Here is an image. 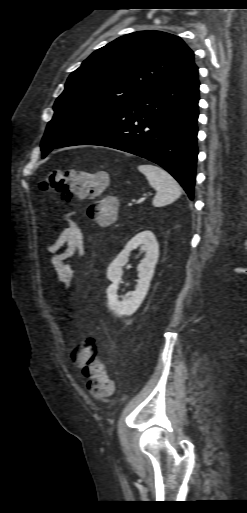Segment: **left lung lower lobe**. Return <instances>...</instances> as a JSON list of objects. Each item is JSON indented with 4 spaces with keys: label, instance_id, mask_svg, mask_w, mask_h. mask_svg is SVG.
<instances>
[{
    "label": "left lung lower lobe",
    "instance_id": "1",
    "mask_svg": "<svg viewBox=\"0 0 247 513\" xmlns=\"http://www.w3.org/2000/svg\"><path fill=\"white\" fill-rule=\"evenodd\" d=\"M199 85L193 59L176 76L56 148L99 145L146 158L166 169L193 200Z\"/></svg>",
    "mask_w": 247,
    "mask_h": 513
}]
</instances>
